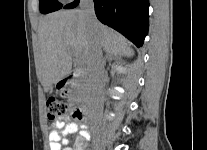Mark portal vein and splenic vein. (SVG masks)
Listing matches in <instances>:
<instances>
[{
    "mask_svg": "<svg viewBox=\"0 0 207 150\" xmlns=\"http://www.w3.org/2000/svg\"><path fill=\"white\" fill-rule=\"evenodd\" d=\"M76 58H77V63H78L79 65H82V61H81V59H80L78 56H76Z\"/></svg>",
    "mask_w": 207,
    "mask_h": 150,
    "instance_id": "obj_1",
    "label": "portal vein and splenic vein"
}]
</instances>
